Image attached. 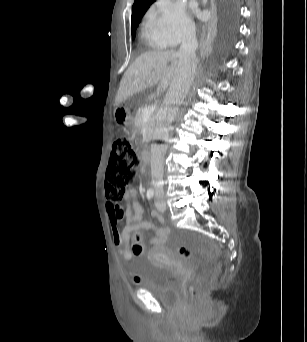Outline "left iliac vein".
Masks as SVG:
<instances>
[{
    "label": "left iliac vein",
    "instance_id": "1",
    "mask_svg": "<svg viewBox=\"0 0 307 342\" xmlns=\"http://www.w3.org/2000/svg\"><path fill=\"white\" fill-rule=\"evenodd\" d=\"M155 206H156L157 210L164 211L166 208V203L162 200H156Z\"/></svg>",
    "mask_w": 307,
    "mask_h": 342
}]
</instances>
